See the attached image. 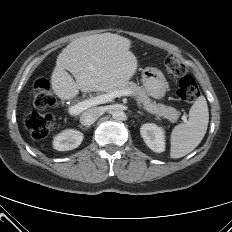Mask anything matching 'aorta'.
<instances>
[{
	"label": "aorta",
	"instance_id": "1",
	"mask_svg": "<svg viewBox=\"0 0 232 232\" xmlns=\"http://www.w3.org/2000/svg\"><path fill=\"white\" fill-rule=\"evenodd\" d=\"M112 117H113V119L120 121V120L125 119L126 114L123 110L116 109L112 112Z\"/></svg>",
	"mask_w": 232,
	"mask_h": 232
}]
</instances>
